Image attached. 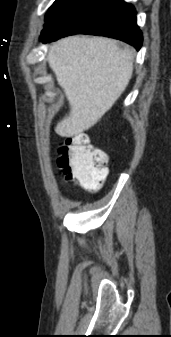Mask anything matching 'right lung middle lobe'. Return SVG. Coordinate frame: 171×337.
I'll list each match as a JSON object with an SVG mask.
<instances>
[{"mask_svg":"<svg viewBox=\"0 0 171 337\" xmlns=\"http://www.w3.org/2000/svg\"><path fill=\"white\" fill-rule=\"evenodd\" d=\"M74 0H56L49 8L45 17V25L51 23L58 17Z\"/></svg>","mask_w":171,"mask_h":337,"instance_id":"1","label":"right lung middle lobe"}]
</instances>
